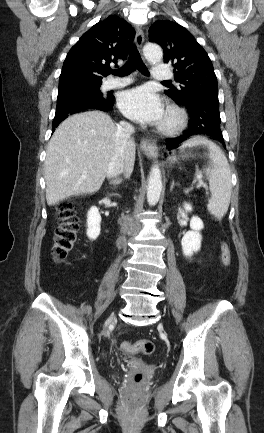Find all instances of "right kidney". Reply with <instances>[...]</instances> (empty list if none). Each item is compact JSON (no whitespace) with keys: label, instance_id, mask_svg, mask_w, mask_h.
<instances>
[{"label":"right kidney","instance_id":"ca27d5eb","mask_svg":"<svg viewBox=\"0 0 264 433\" xmlns=\"http://www.w3.org/2000/svg\"><path fill=\"white\" fill-rule=\"evenodd\" d=\"M101 216L97 207L90 208L87 214V236L91 240L97 239L101 231Z\"/></svg>","mask_w":264,"mask_h":433}]
</instances>
